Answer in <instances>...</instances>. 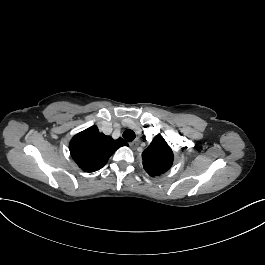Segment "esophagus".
I'll return each instance as SVG.
<instances>
[{"mask_svg":"<svg viewBox=\"0 0 265 265\" xmlns=\"http://www.w3.org/2000/svg\"><path fill=\"white\" fill-rule=\"evenodd\" d=\"M139 144H140V140H139V138H136L134 141H132L129 145H130V148L132 149V150H136L137 149V147L139 146Z\"/></svg>","mask_w":265,"mask_h":265,"instance_id":"34e87169","label":"esophagus"}]
</instances>
